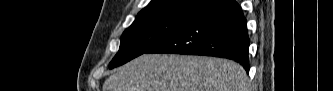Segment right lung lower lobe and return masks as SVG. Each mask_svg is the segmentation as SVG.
Segmentation results:
<instances>
[{"instance_id": "98d812e1", "label": "right lung lower lobe", "mask_w": 333, "mask_h": 91, "mask_svg": "<svg viewBox=\"0 0 333 91\" xmlns=\"http://www.w3.org/2000/svg\"><path fill=\"white\" fill-rule=\"evenodd\" d=\"M246 19L234 0H219L146 53L204 55L232 59L249 72Z\"/></svg>"}]
</instances>
